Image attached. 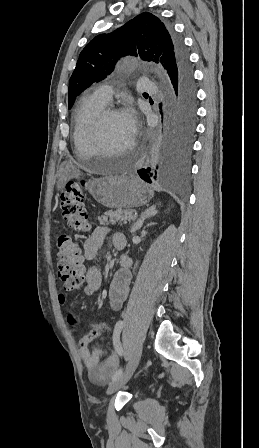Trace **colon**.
I'll return each instance as SVG.
<instances>
[{"instance_id":"5ec220e1","label":"colon","mask_w":259,"mask_h":448,"mask_svg":"<svg viewBox=\"0 0 259 448\" xmlns=\"http://www.w3.org/2000/svg\"><path fill=\"white\" fill-rule=\"evenodd\" d=\"M84 181L70 182L61 195V210L68 226L87 231L90 228V217L85 209ZM58 247V275L68 290H79L85 286L83 256L78 244L68 236H60ZM96 338L95 333L86 335L88 342Z\"/></svg>"}]
</instances>
